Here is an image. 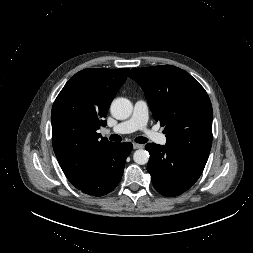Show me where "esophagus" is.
Here are the masks:
<instances>
[{
  "label": "esophagus",
  "mask_w": 253,
  "mask_h": 253,
  "mask_svg": "<svg viewBox=\"0 0 253 253\" xmlns=\"http://www.w3.org/2000/svg\"><path fill=\"white\" fill-rule=\"evenodd\" d=\"M141 148H143L142 144L133 143V149H141Z\"/></svg>",
  "instance_id": "34e87169"
}]
</instances>
